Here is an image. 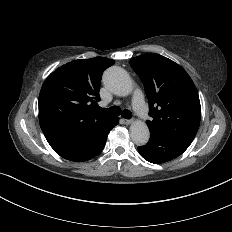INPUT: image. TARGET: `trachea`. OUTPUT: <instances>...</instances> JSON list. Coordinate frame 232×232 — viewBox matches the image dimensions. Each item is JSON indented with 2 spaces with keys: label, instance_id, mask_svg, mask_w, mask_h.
Instances as JSON below:
<instances>
[{
  "label": "trachea",
  "instance_id": "trachea-1",
  "mask_svg": "<svg viewBox=\"0 0 232 232\" xmlns=\"http://www.w3.org/2000/svg\"><path fill=\"white\" fill-rule=\"evenodd\" d=\"M101 111L109 113L111 115H121L125 119H130L132 117V113L129 110L121 111V109L118 106H113L109 109L102 108Z\"/></svg>",
  "mask_w": 232,
  "mask_h": 232
}]
</instances>
